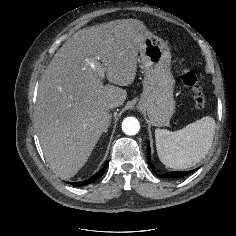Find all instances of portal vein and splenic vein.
<instances>
[{"mask_svg":"<svg viewBox=\"0 0 236 236\" xmlns=\"http://www.w3.org/2000/svg\"><path fill=\"white\" fill-rule=\"evenodd\" d=\"M90 66L94 70H97L99 72V74L101 75V77H104V67L101 65V63L99 61L91 60Z\"/></svg>","mask_w":236,"mask_h":236,"instance_id":"1","label":"portal vein and splenic vein"}]
</instances>
